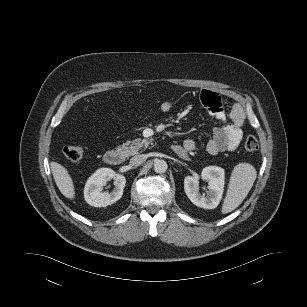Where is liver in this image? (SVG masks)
<instances>
[{
    "mask_svg": "<svg viewBox=\"0 0 307 307\" xmlns=\"http://www.w3.org/2000/svg\"><path fill=\"white\" fill-rule=\"evenodd\" d=\"M51 171L55 180V183L60 192L68 199L75 197V189L71 176L67 169L57 162L50 163Z\"/></svg>",
    "mask_w": 307,
    "mask_h": 307,
    "instance_id": "liver-1",
    "label": "liver"
}]
</instances>
